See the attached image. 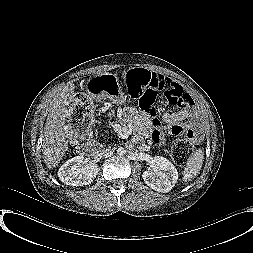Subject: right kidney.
Wrapping results in <instances>:
<instances>
[{"mask_svg":"<svg viewBox=\"0 0 253 253\" xmlns=\"http://www.w3.org/2000/svg\"><path fill=\"white\" fill-rule=\"evenodd\" d=\"M97 164H85L83 156H75L66 161L58 171V177L67 185L84 186L90 184L98 174Z\"/></svg>","mask_w":253,"mask_h":253,"instance_id":"right-kidney-1","label":"right kidney"}]
</instances>
